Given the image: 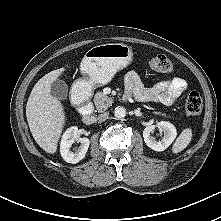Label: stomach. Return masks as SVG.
<instances>
[{
    "label": "stomach",
    "mask_w": 221,
    "mask_h": 221,
    "mask_svg": "<svg viewBox=\"0 0 221 221\" xmlns=\"http://www.w3.org/2000/svg\"><path fill=\"white\" fill-rule=\"evenodd\" d=\"M132 57V48L123 43L94 46L85 53L80 63L83 78L76 84H83L89 90L105 85L119 70L131 63Z\"/></svg>",
    "instance_id": "stomach-1"
}]
</instances>
